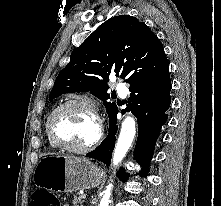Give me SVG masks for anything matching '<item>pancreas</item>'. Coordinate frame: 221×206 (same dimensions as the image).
I'll return each mask as SVG.
<instances>
[{"label":"pancreas","instance_id":"obj_1","mask_svg":"<svg viewBox=\"0 0 221 206\" xmlns=\"http://www.w3.org/2000/svg\"><path fill=\"white\" fill-rule=\"evenodd\" d=\"M83 196L84 195H75L74 196V200H73L74 206H83V203H84Z\"/></svg>","mask_w":221,"mask_h":206}]
</instances>
